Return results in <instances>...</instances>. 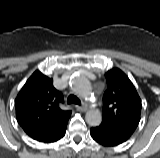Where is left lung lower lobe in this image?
<instances>
[{
  "label": "left lung lower lobe",
  "mask_w": 160,
  "mask_h": 158,
  "mask_svg": "<svg viewBox=\"0 0 160 158\" xmlns=\"http://www.w3.org/2000/svg\"><path fill=\"white\" fill-rule=\"evenodd\" d=\"M92 138L104 146H117L127 141L130 136L116 130H112L102 124L91 128Z\"/></svg>",
  "instance_id": "obj_1"
}]
</instances>
